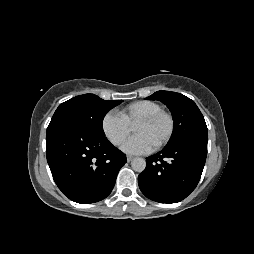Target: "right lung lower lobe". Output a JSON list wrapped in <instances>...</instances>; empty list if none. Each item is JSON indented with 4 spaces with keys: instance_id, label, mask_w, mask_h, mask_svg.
I'll return each mask as SVG.
<instances>
[{
    "instance_id": "obj_1",
    "label": "right lung lower lobe",
    "mask_w": 254,
    "mask_h": 254,
    "mask_svg": "<svg viewBox=\"0 0 254 254\" xmlns=\"http://www.w3.org/2000/svg\"><path fill=\"white\" fill-rule=\"evenodd\" d=\"M47 161L58 188L69 199L89 204L112 191L126 155L105 135L68 122L50 123L46 133Z\"/></svg>"
}]
</instances>
